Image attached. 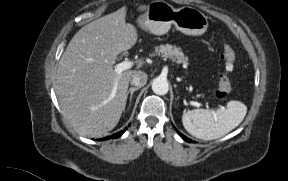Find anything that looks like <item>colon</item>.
<instances>
[{
  "instance_id": "colon-1",
  "label": "colon",
  "mask_w": 288,
  "mask_h": 181,
  "mask_svg": "<svg viewBox=\"0 0 288 181\" xmlns=\"http://www.w3.org/2000/svg\"><path fill=\"white\" fill-rule=\"evenodd\" d=\"M222 58L224 60V71L218 77L219 87L216 92L218 98H225L228 96L233 87L228 74L234 70L236 56L230 46L226 45L224 47Z\"/></svg>"
}]
</instances>
